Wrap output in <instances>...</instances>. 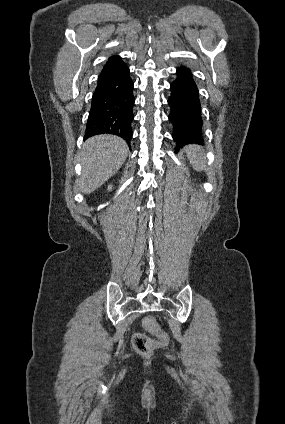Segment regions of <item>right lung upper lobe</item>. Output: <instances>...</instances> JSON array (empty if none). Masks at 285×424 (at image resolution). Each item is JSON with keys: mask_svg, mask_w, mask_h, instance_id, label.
Here are the masks:
<instances>
[{"mask_svg": "<svg viewBox=\"0 0 285 424\" xmlns=\"http://www.w3.org/2000/svg\"><path fill=\"white\" fill-rule=\"evenodd\" d=\"M116 58H119V56L110 57L109 60L116 59Z\"/></svg>", "mask_w": 285, "mask_h": 424, "instance_id": "obj_1", "label": "right lung upper lobe"}]
</instances>
